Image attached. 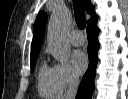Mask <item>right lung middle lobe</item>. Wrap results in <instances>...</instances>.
I'll return each instance as SVG.
<instances>
[{
	"label": "right lung middle lobe",
	"instance_id": "dd1d6c3e",
	"mask_svg": "<svg viewBox=\"0 0 128 99\" xmlns=\"http://www.w3.org/2000/svg\"><path fill=\"white\" fill-rule=\"evenodd\" d=\"M36 59H37V56L31 57V60H30L31 72H32L33 69H34V63H35V60H36Z\"/></svg>",
	"mask_w": 128,
	"mask_h": 99
}]
</instances>
